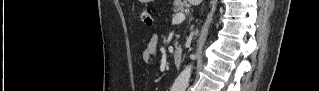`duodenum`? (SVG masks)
Here are the masks:
<instances>
[{
    "label": "duodenum",
    "instance_id": "obj_1",
    "mask_svg": "<svg viewBox=\"0 0 319 91\" xmlns=\"http://www.w3.org/2000/svg\"><path fill=\"white\" fill-rule=\"evenodd\" d=\"M182 50L180 48H175L173 51V58L176 66H180L182 64Z\"/></svg>",
    "mask_w": 319,
    "mask_h": 91
}]
</instances>
